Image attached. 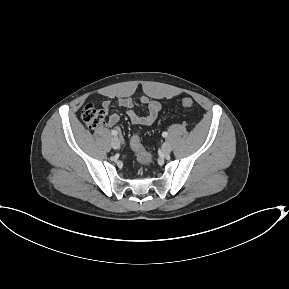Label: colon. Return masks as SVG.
I'll list each match as a JSON object with an SVG mask.
<instances>
[{"label":"colon","mask_w":289,"mask_h":289,"mask_svg":"<svg viewBox=\"0 0 289 289\" xmlns=\"http://www.w3.org/2000/svg\"><path fill=\"white\" fill-rule=\"evenodd\" d=\"M192 104L193 101L189 97L182 100V106L185 109L190 108ZM105 114L104 110L97 109L92 104H88L82 109L81 118L88 128H96L104 123ZM131 147L141 165L148 166L151 164L152 155L143 148L137 135L132 136Z\"/></svg>","instance_id":"obj_1"}]
</instances>
